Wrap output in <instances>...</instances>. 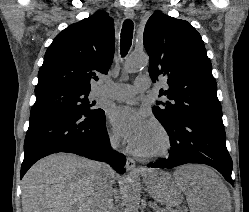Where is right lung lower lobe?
Here are the masks:
<instances>
[{"mask_svg":"<svg viewBox=\"0 0 249 212\" xmlns=\"http://www.w3.org/2000/svg\"><path fill=\"white\" fill-rule=\"evenodd\" d=\"M58 152L106 161L118 173L124 172L126 158L110 147L103 110L100 115L89 117L57 110L31 113L21 178L36 161Z\"/></svg>","mask_w":249,"mask_h":212,"instance_id":"obj_1","label":"right lung lower lobe"}]
</instances>
